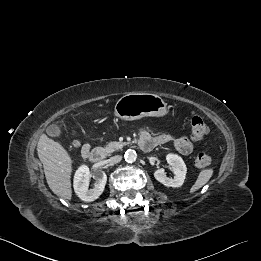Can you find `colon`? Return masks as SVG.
I'll list each match as a JSON object with an SVG mask.
<instances>
[{
	"label": "colon",
	"mask_w": 261,
	"mask_h": 261,
	"mask_svg": "<svg viewBox=\"0 0 261 261\" xmlns=\"http://www.w3.org/2000/svg\"><path fill=\"white\" fill-rule=\"evenodd\" d=\"M208 131L207 124L198 115H194L191 118V135L194 140L201 141L204 139ZM212 162V157L205 153L199 152L195 157V163L199 167H206Z\"/></svg>",
	"instance_id": "1"
}]
</instances>
